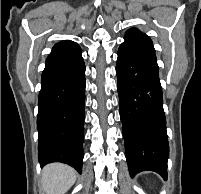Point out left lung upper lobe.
<instances>
[{
    "label": "left lung upper lobe",
    "mask_w": 201,
    "mask_h": 194,
    "mask_svg": "<svg viewBox=\"0 0 201 194\" xmlns=\"http://www.w3.org/2000/svg\"><path fill=\"white\" fill-rule=\"evenodd\" d=\"M124 40L155 51L150 37L136 28H131L126 31Z\"/></svg>",
    "instance_id": "left-lung-upper-lobe-1"
}]
</instances>
